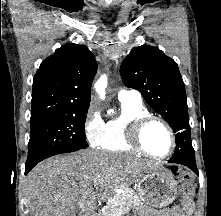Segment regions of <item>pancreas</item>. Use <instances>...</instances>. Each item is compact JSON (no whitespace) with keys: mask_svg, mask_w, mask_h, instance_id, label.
<instances>
[{"mask_svg":"<svg viewBox=\"0 0 221 216\" xmlns=\"http://www.w3.org/2000/svg\"><path fill=\"white\" fill-rule=\"evenodd\" d=\"M138 205V195L132 189H127L125 193L111 197L99 216H122Z\"/></svg>","mask_w":221,"mask_h":216,"instance_id":"pancreas-1","label":"pancreas"}]
</instances>
